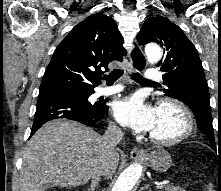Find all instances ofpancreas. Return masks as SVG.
I'll list each match as a JSON object with an SVG mask.
<instances>
[{
  "label": "pancreas",
  "mask_w": 221,
  "mask_h": 191,
  "mask_svg": "<svg viewBox=\"0 0 221 191\" xmlns=\"http://www.w3.org/2000/svg\"><path fill=\"white\" fill-rule=\"evenodd\" d=\"M164 191H185L184 188L179 186H171V185H165L163 186Z\"/></svg>",
  "instance_id": "obj_1"
}]
</instances>
